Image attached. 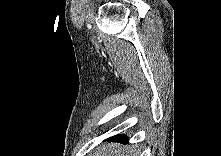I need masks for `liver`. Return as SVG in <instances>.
Segmentation results:
<instances>
[{
    "label": "liver",
    "instance_id": "liver-1",
    "mask_svg": "<svg viewBox=\"0 0 221 156\" xmlns=\"http://www.w3.org/2000/svg\"><path fill=\"white\" fill-rule=\"evenodd\" d=\"M135 150L130 146H124L118 143H108L99 147L95 156H134Z\"/></svg>",
    "mask_w": 221,
    "mask_h": 156
}]
</instances>
